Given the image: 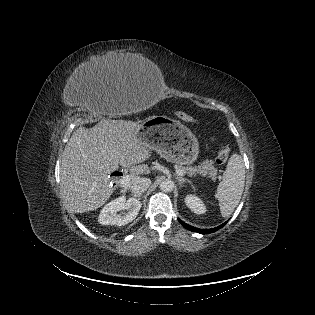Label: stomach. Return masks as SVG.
<instances>
[{"label": "stomach", "instance_id": "obj_1", "mask_svg": "<svg viewBox=\"0 0 315 315\" xmlns=\"http://www.w3.org/2000/svg\"><path fill=\"white\" fill-rule=\"evenodd\" d=\"M138 136L169 162L189 165L198 158L199 144L195 135L182 123L167 116L144 120Z\"/></svg>", "mask_w": 315, "mask_h": 315}]
</instances>
